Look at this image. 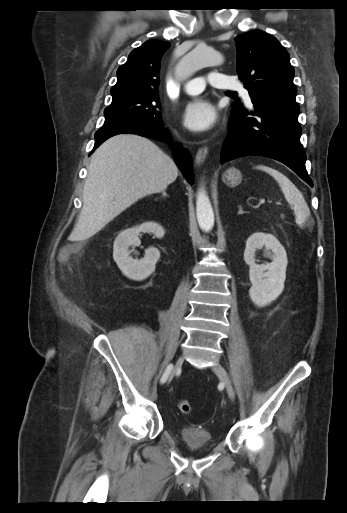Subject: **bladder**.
Returning a JSON list of instances; mask_svg holds the SVG:
<instances>
[{
    "label": "bladder",
    "instance_id": "1",
    "mask_svg": "<svg viewBox=\"0 0 347 513\" xmlns=\"http://www.w3.org/2000/svg\"><path fill=\"white\" fill-rule=\"evenodd\" d=\"M180 437L186 448L193 452H209L217 445L212 434L206 429L183 427L180 429Z\"/></svg>",
    "mask_w": 347,
    "mask_h": 513
}]
</instances>
